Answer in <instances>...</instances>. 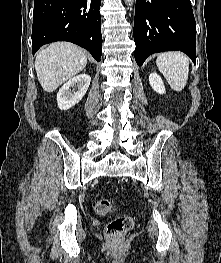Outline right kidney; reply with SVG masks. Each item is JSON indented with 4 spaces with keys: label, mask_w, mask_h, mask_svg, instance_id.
<instances>
[{
    "label": "right kidney",
    "mask_w": 221,
    "mask_h": 263,
    "mask_svg": "<svg viewBox=\"0 0 221 263\" xmlns=\"http://www.w3.org/2000/svg\"><path fill=\"white\" fill-rule=\"evenodd\" d=\"M91 82V77L87 74H80L67 81L57 94L58 107L61 110H68L79 103L86 94ZM77 91L72 93L71 88Z\"/></svg>",
    "instance_id": "ca27d5eb"
}]
</instances>
